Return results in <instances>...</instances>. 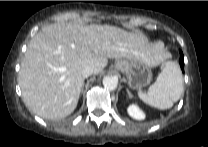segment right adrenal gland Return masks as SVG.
Returning <instances> with one entry per match:
<instances>
[{"label": "right adrenal gland", "mask_w": 208, "mask_h": 147, "mask_svg": "<svg viewBox=\"0 0 208 147\" xmlns=\"http://www.w3.org/2000/svg\"><path fill=\"white\" fill-rule=\"evenodd\" d=\"M83 88H84V84H83V87H82V90H81V92L83 91Z\"/></svg>", "instance_id": "obj_1"}]
</instances>
